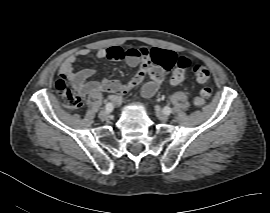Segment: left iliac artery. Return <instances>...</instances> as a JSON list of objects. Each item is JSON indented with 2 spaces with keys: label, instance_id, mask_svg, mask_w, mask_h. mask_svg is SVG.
<instances>
[{
  "label": "left iliac artery",
  "instance_id": "1",
  "mask_svg": "<svg viewBox=\"0 0 270 213\" xmlns=\"http://www.w3.org/2000/svg\"><path fill=\"white\" fill-rule=\"evenodd\" d=\"M163 112H164L166 115H169V114L172 112V110H171L170 107L166 106V107H164Z\"/></svg>",
  "mask_w": 270,
  "mask_h": 213
}]
</instances>
